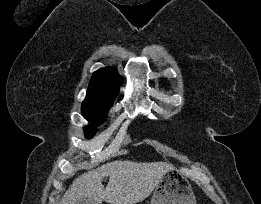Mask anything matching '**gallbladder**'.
I'll return each instance as SVG.
<instances>
[{
	"label": "gallbladder",
	"mask_w": 261,
	"mask_h": 204,
	"mask_svg": "<svg viewBox=\"0 0 261 204\" xmlns=\"http://www.w3.org/2000/svg\"><path fill=\"white\" fill-rule=\"evenodd\" d=\"M77 204H96V202L93 199L82 198L77 201Z\"/></svg>",
	"instance_id": "bac80fb5"
}]
</instances>
